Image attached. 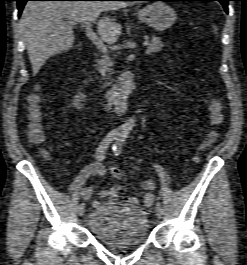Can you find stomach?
<instances>
[{
  "label": "stomach",
  "mask_w": 247,
  "mask_h": 265,
  "mask_svg": "<svg viewBox=\"0 0 247 265\" xmlns=\"http://www.w3.org/2000/svg\"><path fill=\"white\" fill-rule=\"evenodd\" d=\"M138 17L147 25L158 31L170 28L177 14L172 7L163 2H154L138 11Z\"/></svg>",
  "instance_id": "obj_1"
}]
</instances>
